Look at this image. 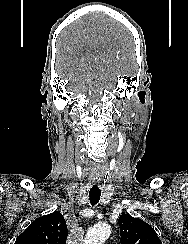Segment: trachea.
<instances>
[{
  "label": "trachea",
  "instance_id": "obj_1",
  "mask_svg": "<svg viewBox=\"0 0 188 244\" xmlns=\"http://www.w3.org/2000/svg\"><path fill=\"white\" fill-rule=\"evenodd\" d=\"M100 180H93V182L91 183V189L89 192V199H90V203L91 205H96L99 200H100V196H101V189L98 188V186L100 185Z\"/></svg>",
  "mask_w": 188,
  "mask_h": 244
}]
</instances>
